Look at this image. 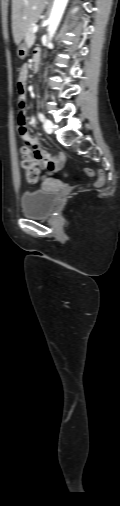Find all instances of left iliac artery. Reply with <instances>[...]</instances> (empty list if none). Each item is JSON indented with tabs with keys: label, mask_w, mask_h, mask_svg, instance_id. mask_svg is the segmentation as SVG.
<instances>
[{
	"label": "left iliac artery",
	"mask_w": 120,
	"mask_h": 506,
	"mask_svg": "<svg viewBox=\"0 0 120 506\" xmlns=\"http://www.w3.org/2000/svg\"><path fill=\"white\" fill-rule=\"evenodd\" d=\"M38 118L41 122H44V120H45V117L41 112L38 114Z\"/></svg>",
	"instance_id": "1"
}]
</instances>
